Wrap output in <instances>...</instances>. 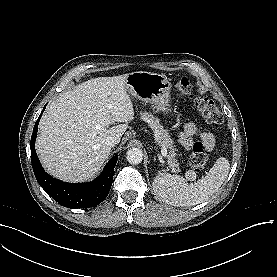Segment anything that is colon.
I'll return each mask as SVG.
<instances>
[{"label":"colon","mask_w":277,"mask_h":277,"mask_svg":"<svg viewBox=\"0 0 277 277\" xmlns=\"http://www.w3.org/2000/svg\"><path fill=\"white\" fill-rule=\"evenodd\" d=\"M176 90L182 96H185L193 101L199 115L206 122L213 124L222 122L223 116L217 105L209 98L194 96L187 78H181L178 81ZM207 163L208 155L205 148L200 143H196L189 157V165L191 169L195 173H200L205 169Z\"/></svg>","instance_id":"colon-1"}]
</instances>
